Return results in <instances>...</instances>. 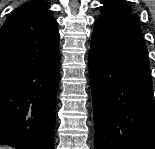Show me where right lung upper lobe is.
<instances>
[{
  "mask_svg": "<svg viewBox=\"0 0 155 149\" xmlns=\"http://www.w3.org/2000/svg\"><path fill=\"white\" fill-rule=\"evenodd\" d=\"M42 1L18 7L0 30V76H13L59 56L57 23Z\"/></svg>",
  "mask_w": 155,
  "mask_h": 149,
  "instance_id": "1",
  "label": "right lung upper lobe"
}]
</instances>
